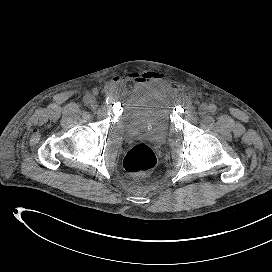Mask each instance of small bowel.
Here are the masks:
<instances>
[{
    "label": "small bowel",
    "instance_id": "obj_1",
    "mask_svg": "<svg viewBox=\"0 0 272 272\" xmlns=\"http://www.w3.org/2000/svg\"><path fill=\"white\" fill-rule=\"evenodd\" d=\"M125 79H129V80L136 82V83H141V82L145 81V79L143 78V75H140L137 73H129V74L125 75L124 77H118L117 79L114 78L112 82L114 84H118Z\"/></svg>",
    "mask_w": 272,
    "mask_h": 272
}]
</instances>
